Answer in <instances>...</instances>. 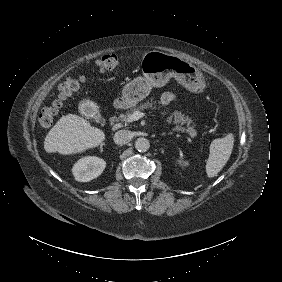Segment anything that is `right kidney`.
<instances>
[{
    "mask_svg": "<svg viewBox=\"0 0 282 282\" xmlns=\"http://www.w3.org/2000/svg\"><path fill=\"white\" fill-rule=\"evenodd\" d=\"M106 168V161L93 155L79 157L70 171L75 181L89 182L102 174Z\"/></svg>",
    "mask_w": 282,
    "mask_h": 282,
    "instance_id": "right-kidney-1",
    "label": "right kidney"
}]
</instances>
